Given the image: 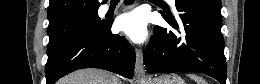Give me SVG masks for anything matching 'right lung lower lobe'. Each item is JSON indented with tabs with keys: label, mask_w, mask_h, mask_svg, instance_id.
Instances as JSON below:
<instances>
[{
	"label": "right lung lower lobe",
	"mask_w": 260,
	"mask_h": 84,
	"mask_svg": "<svg viewBox=\"0 0 260 84\" xmlns=\"http://www.w3.org/2000/svg\"><path fill=\"white\" fill-rule=\"evenodd\" d=\"M133 2V0H127ZM111 25L98 36L78 38L48 59L46 84L82 68L105 69L131 79L135 67V51L124 37L111 33Z\"/></svg>",
	"instance_id": "98d812e1"
}]
</instances>
